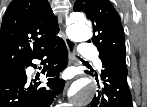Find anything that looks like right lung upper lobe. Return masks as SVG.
<instances>
[{"label":"right lung upper lobe","mask_w":147,"mask_h":107,"mask_svg":"<svg viewBox=\"0 0 147 107\" xmlns=\"http://www.w3.org/2000/svg\"><path fill=\"white\" fill-rule=\"evenodd\" d=\"M58 32L48 0H13L1 24L0 69L23 67Z\"/></svg>","instance_id":"obj_1"}]
</instances>
